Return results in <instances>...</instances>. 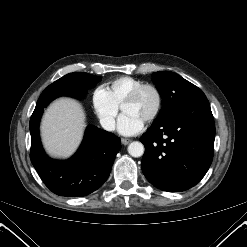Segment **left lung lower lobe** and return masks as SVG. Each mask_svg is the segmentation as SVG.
Segmentation results:
<instances>
[{
  "mask_svg": "<svg viewBox=\"0 0 247 247\" xmlns=\"http://www.w3.org/2000/svg\"><path fill=\"white\" fill-rule=\"evenodd\" d=\"M214 139L215 125L208 100L192 101L170 117L156 118L142 135V171L159 189L185 191L209 169Z\"/></svg>",
  "mask_w": 247,
  "mask_h": 247,
  "instance_id": "1",
  "label": "left lung lower lobe"
}]
</instances>
